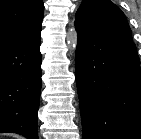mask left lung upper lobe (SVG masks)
<instances>
[{
  "instance_id": "1",
  "label": "left lung upper lobe",
  "mask_w": 141,
  "mask_h": 139,
  "mask_svg": "<svg viewBox=\"0 0 141 139\" xmlns=\"http://www.w3.org/2000/svg\"><path fill=\"white\" fill-rule=\"evenodd\" d=\"M75 24L104 36L132 41L124 13L110 0H83Z\"/></svg>"
}]
</instances>
